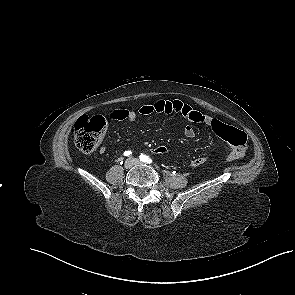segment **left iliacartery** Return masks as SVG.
Returning <instances> with one entry per match:
<instances>
[{"mask_svg": "<svg viewBox=\"0 0 295 295\" xmlns=\"http://www.w3.org/2000/svg\"><path fill=\"white\" fill-rule=\"evenodd\" d=\"M140 160L145 162V163H152V160L149 156L145 155V154H140L139 156Z\"/></svg>", "mask_w": 295, "mask_h": 295, "instance_id": "obj_1", "label": "left iliac artery"}]
</instances>
